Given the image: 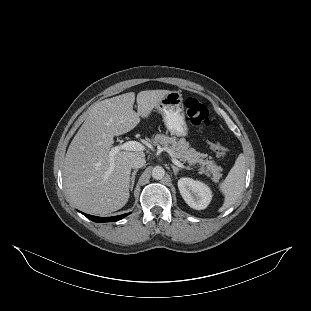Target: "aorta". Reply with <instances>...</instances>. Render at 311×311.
<instances>
[{
  "instance_id": "1",
  "label": "aorta",
  "mask_w": 311,
  "mask_h": 311,
  "mask_svg": "<svg viewBox=\"0 0 311 311\" xmlns=\"http://www.w3.org/2000/svg\"><path fill=\"white\" fill-rule=\"evenodd\" d=\"M165 170L163 167L157 166L152 170V178L154 180H161L165 177Z\"/></svg>"
}]
</instances>
